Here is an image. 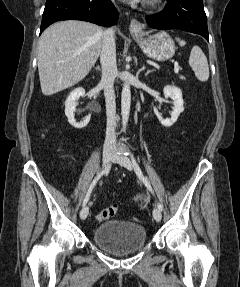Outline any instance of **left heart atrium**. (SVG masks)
<instances>
[{
  "mask_svg": "<svg viewBox=\"0 0 240 287\" xmlns=\"http://www.w3.org/2000/svg\"><path fill=\"white\" fill-rule=\"evenodd\" d=\"M127 1H130V2H138V1H141V0H127Z\"/></svg>",
  "mask_w": 240,
  "mask_h": 287,
  "instance_id": "39dd6f15",
  "label": "left heart atrium"
}]
</instances>
